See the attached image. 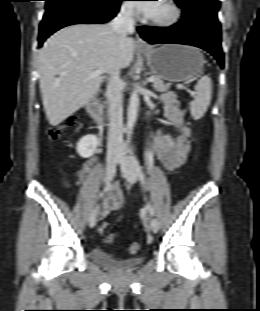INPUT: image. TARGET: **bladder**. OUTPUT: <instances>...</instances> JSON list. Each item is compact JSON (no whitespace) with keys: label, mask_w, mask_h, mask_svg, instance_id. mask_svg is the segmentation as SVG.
<instances>
[{"label":"bladder","mask_w":260,"mask_h":311,"mask_svg":"<svg viewBox=\"0 0 260 311\" xmlns=\"http://www.w3.org/2000/svg\"><path fill=\"white\" fill-rule=\"evenodd\" d=\"M90 256L97 264L115 271L135 269L144 260L143 257L117 258L100 247H93L90 251Z\"/></svg>","instance_id":"1"}]
</instances>
